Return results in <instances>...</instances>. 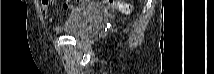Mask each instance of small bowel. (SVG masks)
<instances>
[{"label": "small bowel", "mask_w": 214, "mask_h": 74, "mask_svg": "<svg viewBox=\"0 0 214 74\" xmlns=\"http://www.w3.org/2000/svg\"><path fill=\"white\" fill-rule=\"evenodd\" d=\"M50 4L51 1H41V8H42V13L43 16L48 23L50 29L54 32H61L62 31V25L59 23L58 20H56L54 17L51 16L50 14ZM71 5L69 3H64L62 5V10L65 12H68L71 9Z\"/></svg>", "instance_id": "1"}]
</instances>
